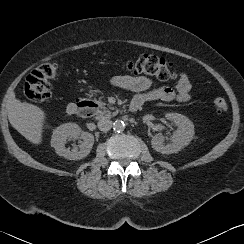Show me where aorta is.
Returning a JSON list of instances; mask_svg holds the SVG:
<instances>
[{"label": "aorta", "instance_id": "obj_1", "mask_svg": "<svg viewBox=\"0 0 244 244\" xmlns=\"http://www.w3.org/2000/svg\"><path fill=\"white\" fill-rule=\"evenodd\" d=\"M113 129L117 132H121V131H124L125 129V123L123 121H115L114 124H113Z\"/></svg>", "mask_w": 244, "mask_h": 244}]
</instances>
